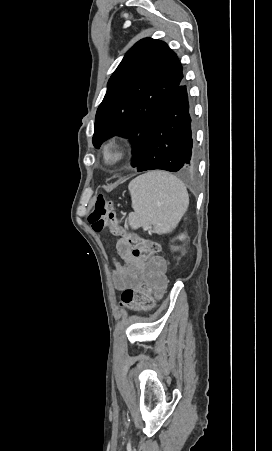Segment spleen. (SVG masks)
Instances as JSON below:
<instances>
[{
  "instance_id": "obj_1",
  "label": "spleen",
  "mask_w": 272,
  "mask_h": 451,
  "mask_svg": "<svg viewBox=\"0 0 272 451\" xmlns=\"http://www.w3.org/2000/svg\"><path fill=\"white\" fill-rule=\"evenodd\" d=\"M134 212L128 222L132 229L153 226L154 233H169L179 224L188 206L185 184L169 172H147L128 186Z\"/></svg>"
}]
</instances>
